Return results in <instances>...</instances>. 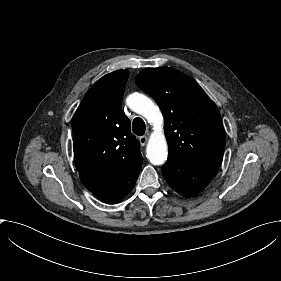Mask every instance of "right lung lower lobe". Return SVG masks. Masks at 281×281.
Returning <instances> with one entry per match:
<instances>
[{
  "label": "right lung lower lobe",
  "instance_id": "1",
  "mask_svg": "<svg viewBox=\"0 0 281 281\" xmlns=\"http://www.w3.org/2000/svg\"><path fill=\"white\" fill-rule=\"evenodd\" d=\"M141 165L142 159L137 161L133 165V167L127 172V174L111 189L97 197L101 201L108 204H116L120 202L134 187L140 172Z\"/></svg>",
  "mask_w": 281,
  "mask_h": 281
}]
</instances>
